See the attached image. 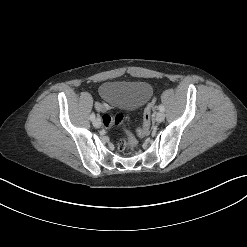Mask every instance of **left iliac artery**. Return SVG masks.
Segmentation results:
<instances>
[{
	"label": "left iliac artery",
	"mask_w": 247,
	"mask_h": 247,
	"mask_svg": "<svg viewBox=\"0 0 247 247\" xmlns=\"http://www.w3.org/2000/svg\"><path fill=\"white\" fill-rule=\"evenodd\" d=\"M158 108H159V110L162 111V112L165 111L164 106H163L162 104H160Z\"/></svg>",
	"instance_id": "obj_1"
}]
</instances>
